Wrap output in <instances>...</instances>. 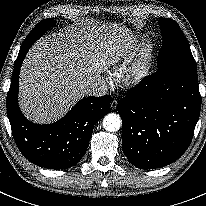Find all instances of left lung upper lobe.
<instances>
[{
	"label": "left lung upper lobe",
	"instance_id": "left-lung-upper-lobe-1",
	"mask_svg": "<svg viewBox=\"0 0 206 206\" xmlns=\"http://www.w3.org/2000/svg\"><path fill=\"white\" fill-rule=\"evenodd\" d=\"M159 25L162 30L163 44L158 54L157 72L172 70L197 74L195 60L177 22L161 18Z\"/></svg>",
	"mask_w": 206,
	"mask_h": 206
}]
</instances>
